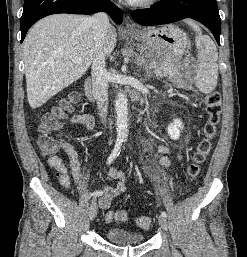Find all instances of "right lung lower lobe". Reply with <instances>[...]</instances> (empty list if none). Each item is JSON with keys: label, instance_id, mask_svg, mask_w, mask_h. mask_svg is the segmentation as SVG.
Returning a JSON list of instances; mask_svg holds the SVG:
<instances>
[{"label": "right lung lower lobe", "instance_id": "98d812e1", "mask_svg": "<svg viewBox=\"0 0 247 257\" xmlns=\"http://www.w3.org/2000/svg\"><path fill=\"white\" fill-rule=\"evenodd\" d=\"M107 12L114 22L121 24L122 11L109 0H25L21 17V42L28 29L39 19L55 13L92 14Z\"/></svg>", "mask_w": 247, "mask_h": 257}]
</instances>
